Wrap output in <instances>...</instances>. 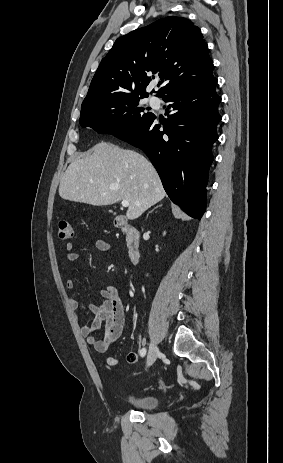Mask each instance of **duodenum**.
I'll return each instance as SVG.
<instances>
[{
  "instance_id": "1",
  "label": "duodenum",
  "mask_w": 283,
  "mask_h": 463,
  "mask_svg": "<svg viewBox=\"0 0 283 463\" xmlns=\"http://www.w3.org/2000/svg\"><path fill=\"white\" fill-rule=\"evenodd\" d=\"M115 226L126 233V245L129 260L133 265H137L140 260V234L139 231L128 222L124 216L115 220Z\"/></svg>"
}]
</instances>
